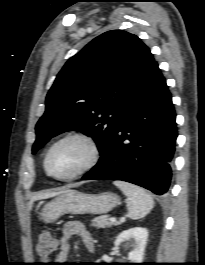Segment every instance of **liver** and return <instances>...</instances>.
<instances>
[{
  "mask_svg": "<svg viewBox=\"0 0 205 265\" xmlns=\"http://www.w3.org/2000/svg\"><path fill=\"white\" fill-rule=\"evenodd\" d=\"M70 191H73V190L65 189V190H60V191H57V192H44V193H39V194L35 195V196L31 199V201H30V206H31V205L33 204V202L36 201V200L52 198V197L59 196V195H61V194H64V193H67V192H70Z\"/></svg>",
  "mask_w": 205,
  "mask_h": 265,
  "instance_id": "obj_1",
  "label": "liver"
}]
</instances>
